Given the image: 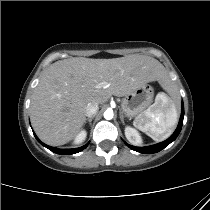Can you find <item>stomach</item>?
<instances>
[{
	"label": "stomach",
	"mask_w": 210,
	"mask_h": 210,
	"mask_svg": "<svg viewBox=\"0 0 210 210\" xmlns=\"http://www.w3.org/2000/svg\"><path fill=\"white\" fill-rule=\"evenodd\" d=\"M154 96L153 87L145 84L127 94L121 103V108L126 117H135L144 113L152 103Z\"/></svg>",
	"instance_id": "stomach-1"
}]
</instances>
